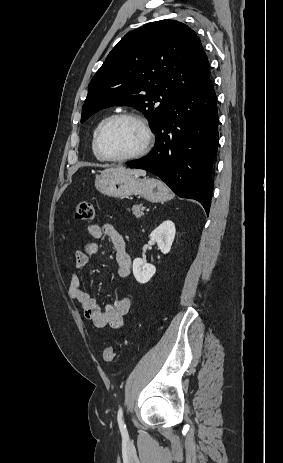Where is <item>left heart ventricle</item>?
<instances>
[{
    "mask_svg": "<svg viewBox=\"0 0 283 463\" xmlns=\"http://www.w3.org/2000/svg\"><path fill=\"white\" fill-rule=\"evenodd\" d=\"M141 126L134 120L111 123L101 136V148L107 156L124 157L137 152L144 143Z\"/></svg>",
    "mask_w": 283,
    "mask_h": 463,
    "instance_id": "left-heart-ventricle-1",
    "label": "left heart ventricle"
}]
</instances>
